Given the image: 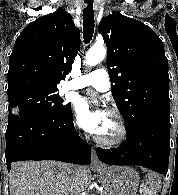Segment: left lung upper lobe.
Instances as JSON below:
<instances>
[{
  "mask_svg": "<svg viewBox=\"0 0 178 195\" xmlns=\"http://www.w3.org/2000/svg\"><path fill=\"white\" fill-rule=\"evenodd\" d=\"M107 45L112 95L130 131L143 122L170 124L168 59L157 34L114 11L98 26Z\"/></svg>",
  "mask_w": 178,
  "mask_h": 195,
  "instance_id": "5c2ea615",
  "label": "left lung upper lobe"
}]
</instances>
